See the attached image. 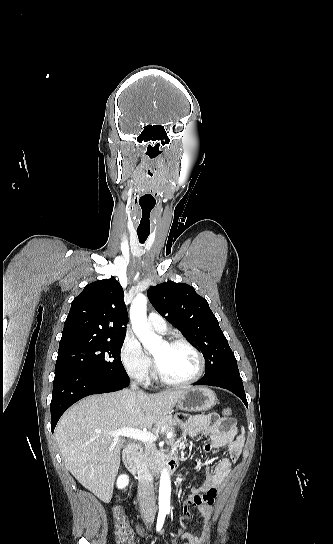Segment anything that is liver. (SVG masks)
Instances as JSON below:
<instances>
[{
	"label": "liver",
	"mask_w": 333,
	"mask_h": 544,
	"mask_svg": "<svg viewBox=\"0 0 333 544\" xmlns=\"http://www.w3.org/2000/svg\"><path fill=\"white\" fill-rule=\"evenodd\" d=\"M186 390L157 394L121 390L89 396L68 409L55 437L66 468L89 491L109 502L124 439L109 432L150 428L171 413Z\"/></svg>",
	"instance_id": "1"
}]
</instances>
